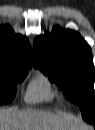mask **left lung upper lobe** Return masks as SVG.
<instances>
[{
    "mask_svg": "<svg viewBox=\"0 0 95 130\" xmlns=\"http://www.w3.org/2000/svg\"><path fill=\"white\" fill-rule=\"evenodd\" d=\"M34 67L80 106L83 119L95 123L94 66L91 49L75 31L58 29L34 42Z\"/></svg>",
    "mask_w": 95,
    "mask_h": 130,
    "instance_id": "obj_1",
    "label": "left lung upper lobe"
}]
</instances>
